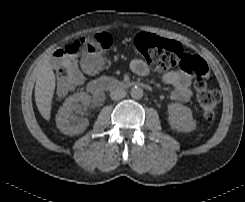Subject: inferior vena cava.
Instances as JSON below:
<instances>
[{
  "mask_svg": "<svg viewBox=\"0 0 245 202\" xmlns=\"http://www.w3.org/2000/svg\"><path fill=\"white\" fill-rule=\"evenodd\" d=\"M126 96V91L123 88H115L111 91L110 97L112 100H120Z\"/></svg>",
  "mask_w": 245,
  "mask_h": 202,
  "instance_id": "602c4592",
  "label": "inferior vena cava"
}]
</instances>
